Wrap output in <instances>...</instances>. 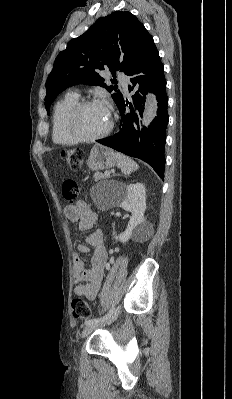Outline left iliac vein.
<instances>
[{"label":"left iliac vein","mask_w":232,"mask_h":399,"mask_svg":"<svg viewBox=\"0 0 232 399\" xmlns=\"http://www.w3.org/2000/svg\"><path fill=\"white\" fill-rule=\"evenodd\" d=\"M118 314H119V311H118V310H115L114 313H113V315H112V317H111V320H112V321H115L116 318H117V316H118ZM97 326H98V323H97V322H94L93 325H86V329L83 330V334H84V335H87L88 333H93V328H97Z\"/></svg>","instance_id":"4c4485c4"}]
</instances>
